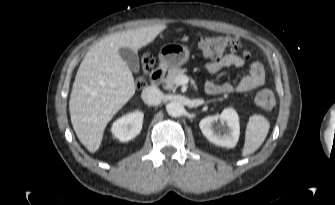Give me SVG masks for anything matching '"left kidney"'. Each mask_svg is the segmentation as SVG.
I'll return each mask as SVG.
<instances>
[{"mask_svg": "<svg viewBox=\"0 0 335 205\" xmlns=\"http://www.w3.org/2000/svg\"><path fill=\"white\" fill-rule=\"evenodd\" d=\"M218 119L225 122L227 129L223 133L213 128L214 122ZM199 127L203 135L213 144L221 147L233 148L236 146L239 135L240 125L237 112L232 108H226L219 116H208L202 119Z\"/></svg>", "mask_w": 335, "mask_h": 205, "instance_id": "5707ae66", "label": "left kidney"}]
</instances>
